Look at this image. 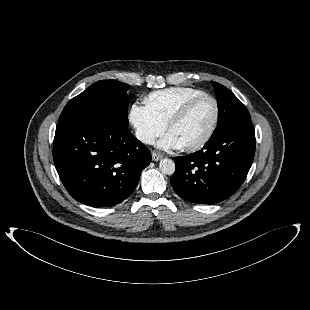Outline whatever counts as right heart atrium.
<instances>
[{
	"instance_id": "1",
	"label": "right heart atrium",
	"mask_w": 310,
	"mask_h": 310,
	"mask_svg": "<svg viewBox=\"0 0 310 310\" xmlns=\"http://www.w3.org/2000/svg\"><path fill=\"white\" fill-rule=\"evenodd\" d=\"M128 118L136 138L143 144H152L166 130V124L158 120L146 105L134 103Z\"/></svg>"
}]
</instances>
